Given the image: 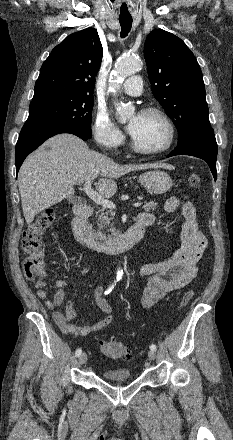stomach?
Listing matches in <instances>:
<instances>
[{
    "mask_svg": "<svg viewBox=\"0 0 233 440\" xmlns=\"http://www.w3.org/2000/svg\"><path fill=\"white\" fill-rule=\"evenodd\" d=\"M141 185L151 194L166 193L172 186L171 177L164 171L153 170L139 176Z\"/></svg>",
    "mask_w": 233,
    "mask_h": 440,
    "instance_id": "stomach-1",
    "label": "stomach"
}]
</instances>
